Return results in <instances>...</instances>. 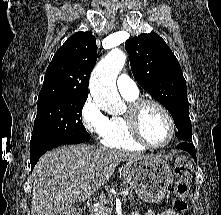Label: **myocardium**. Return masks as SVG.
Returning <instances> with one entry per match:
<instances>
[{
  "mask_svg": "<svg viewBox=\"0 0 221 215\" xmlns=\"http://www.w3.org/2000/svg\"><path fill=\"white\" fill-rule=\"evenodd\" d=\"M148 104L158 107L164 113L169 122V136L163 144L154 145L150 143L142 133L140 126L141 111ZM124 115L131 135L138 143L145 146L146 148L155 150L163 149L167 147L174 138L176 130L174 118L168 108L158 100L152 98H137L136 100L129 103L128 109Z\"/></svg>",
  "mask_w": 221,
  "mask_h": 215,
  "instance_id": "f54148a6",
  "label": "myocardium"
}]
</instances>
